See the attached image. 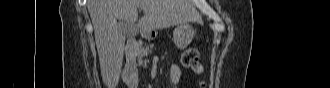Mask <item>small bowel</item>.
<instances>
[{
    "label": "small bowel",
    "mask_w": 330,
    "mask_h": 88,
    "mask_svg": "<svg viewBox=\"0 0 330 88\" xmlns=\"http://www.w3.org/2000/svg\"><path fill=\"white\" fill-rule=\"evenodd\" d=\"M133 69V67L131 68ZM183 80V71L180 66L173 65L170 68V82L173 87H177Z\"/></svg>",
    "instance_id": "small-bowel-1"
}]
</instances>
